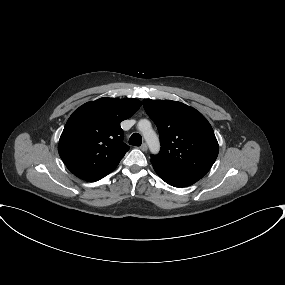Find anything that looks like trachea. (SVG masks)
<instances>
[{"label": "trachea", "mask_w": 285, "mask_h": 285, "mask_svg": "<svg viewBox=\"0 0 285 285\" xmlns=\"http://www.w3.org/2000/svg\"><path fill=\"white\" fill-rule=\"evenodd\" d=\"M142 143V137L138 133H133L129 139V144L133 146H140Z\"/></svg>", "instance_id": "trachea-1"}]
</instances>
